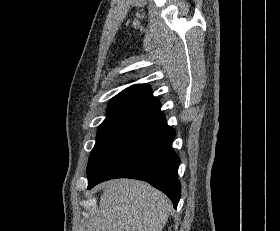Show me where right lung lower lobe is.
I'll list each match as a JSON object with an SVG mask.
<instances>
[{
	"mask_svg": "<svg viewBox=\"0 0 280 231\" xmlns=\"http://www.w3.org/2000/svg\"><path fill=\"white\" fill-rule=\"evenodd\" d=\"M175 135L164 114L127 129L89 162L88 189L113 178L143 180L164 192L176 208L181 185L177 178L180 159L172 148Z\"/></svg>",
	"mask_w": 280,
	"mask_h": 231,
	"instance_id": "1",
	"label": "right lung lower lobe"
}]
</instances>
